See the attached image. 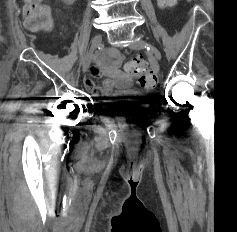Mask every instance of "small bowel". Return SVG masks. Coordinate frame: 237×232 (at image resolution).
<instances>
[{
  "label": "small bowel",
  "instance_id": "c3829d8e",
  "mask_svg": "<svg viewBox=\"0 0 237 232\" xmlns=\"http://www.w3.org/2000/svg\"><path fill=\"white\" fill-rule=\"evenodd\" d=\"M124 56L117 48H109L96 57V65L91 69L89 76L84 80L86 89L96 97H116L118 93L127 91L130 81L121 78L120 69ZM106 76L100 86L96 85L95 78Z\"/></svg>",
  "mask_w": 237,
  "mask_h": 232
}]
</instances>
